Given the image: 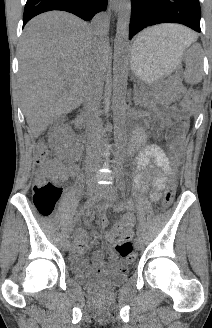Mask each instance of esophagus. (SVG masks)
Wrapping results in <instances>:
<instances>
[{"instance_id":"1","label":"esophagus","mask_w":212,"mask_h":328,"mask_svg":"<svg viewBox=\"0 0 212 328\" xmlns=\"http://www.w3.org/2000/svg\"><path fill=\"white\" fill-rule=\"evenodd\" d=\"M110 4L112 6L114 13L116 14L119 7V0H110Z\"/></svg>"}]
</instances>
